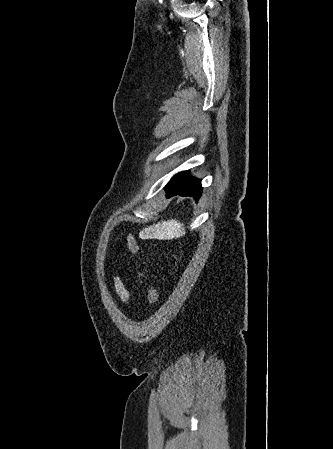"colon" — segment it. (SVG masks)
I'll return each instance as SVG.
<instances>
[{"label": "colon", "instance_id": "1", "mask_svg": "<svg viewBox=\"0 0 333 449\" xmlns=\"http://www.w3.org/2000/svg\"><path fill=\"white\" fill-rule=\"evenodd\" d=\"M126 242L129 250L137 255L140 259H143V250L136 238L132 235H127ZM147 297L150 304H156L159 300L158 290L155 287L150 286L147 291Z\"/></svg>", "mask_w": 333, "mask_h": 449}]
</instances>
